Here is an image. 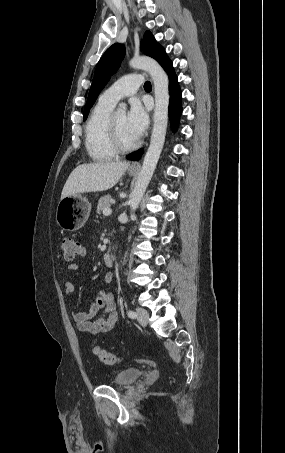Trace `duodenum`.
Instances as JSON below:
<instances>
[{"mask_svg":"<svg viewBox=\"0 0 285 453\" xmlns=\"http://www.w3.org/2000/svg\"><path fill=\"white\" fill-rule=\"evenodd\" d=\"M103 262L107 267H111L113 265V255L110 252H107L103 255Z\"/></svg>","mask_w":285,"mask_h":453,"instance_id":"1","label":"duodenum"}]
</instances>
